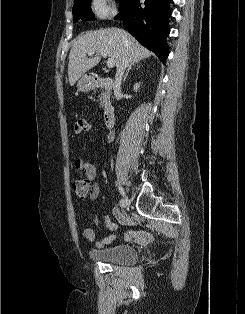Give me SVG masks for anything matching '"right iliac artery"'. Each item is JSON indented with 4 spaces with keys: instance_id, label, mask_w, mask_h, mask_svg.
<instances>
[{
    "instance_id": "1",
    "label": "right iliac artery",
    "mask_w": 245,
    "mask_h": 314,
    "mask_svg": "<svg viewBox=\"0 0 245 314\" xmlns=\"http://www.w3.org/2000/svg\"><path fill=\"white\" fill-rule=\"evenodd\" d=\"M118 188H119L120 193L124 194L123 188L122 187H118ZM121 205H122V201H121Z\"/></svg>"
}]
</instances>
